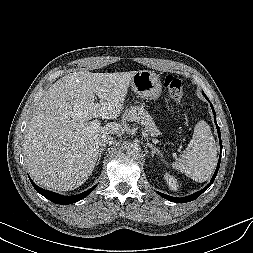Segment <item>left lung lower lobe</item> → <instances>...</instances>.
<instances>
[{
  "instance_id": "obj_1",
  "label": "left lung lower lobe",
  "mask_w": 253,
  "mask_h": 253,
  "mask_svg": "<svg viewBox=\"0 0 253 253\" xmlns=\"http://www.w3.org/2000/svg\"><path fill=\"white\" fill-rule=\"evenodd\" d=\"M207 98V97H206ZM208 99V98H207ZM209 101V100H208ZM211 105V108H212V111H213V114H214V121H215V124H216V127H217V131H218V136H219V142H220V146H221V149H222V143H221V134H220V128L219 126L217 125V122H216V114H215V111L213 109V106L212 104ZM220 161H221V157L219 158V161H218V164H217V167H216V171L210 181V184H208L204 189L192 194V195H189L187 197H183V198H175V197H171V196H168L166 194H163V193H160L158 192L162 197L168 199L169 201H172V202H177V203H184V202H189V201H193L195 200L196 198H198L212 183L213 181L215 180V177L217 175V172L219 170V166H220Z\"/></svg>"
}]
</instances>
